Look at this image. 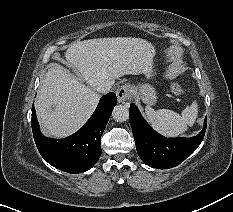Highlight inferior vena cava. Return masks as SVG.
I'll use <instances>...</instances> for the list:
<instances>
[{
	"instance_id": "602c4592",
	"label": "inferior vena cava",
	"mask_w": 233,
	"mask_h": 212,
	"mask_svg": "<svg viewBox=\"0 0 233 212\" xmlns=\"http://www.w3.org/2000/svg\"><path fill=\"white\" fill-rule=\"evenodd\" d=\"M112 84L111 83H103L97 86L96 91L99 93L106 94L110 91Z\"/></svg>"
}]
</instances>
